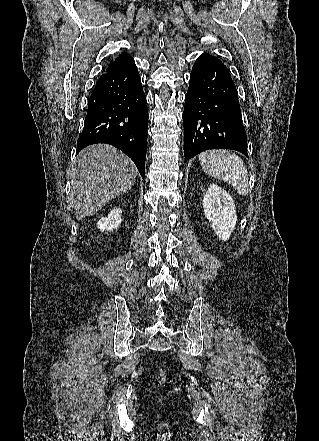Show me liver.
Returning a JSON list of instances; mask_svg holds the SVG:
<instances>
[{
  "label": "liver",
  "mask_w": 319,
  "mask_h": 441,
  "mask_svg": "<svg viewBox=\"0 0 319 441\" xmlns=\"http://www.w3.org/2000/svg\"><path fill=\"white\" fill-rule=\"evenodd\" d=\"M137 169L124 153L104 144L91 145L70 170V204L77 220L92 216L135 184Z\"/></svg>",
  "instance_id": "1"
}]
</instances>
